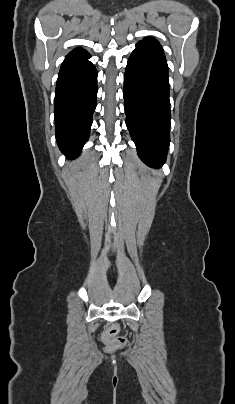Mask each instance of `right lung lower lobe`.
<instances>
[{"label":"right lung lower lobe","instance_id":"98d812e1","mask_svg":"<svg viewBox=\"0 0 235 404\" xmlns=\"http://www.w3.org/2000/svg\"><path fill=\"white\" fill-rule=\"evenodd\" d=\"M90 56L66 58L55 92L56 140L69 158L79 155L87 142L96 107L97 70Z\"/></svg>","mask_w":235,"mask_h":404}]
</instances>
